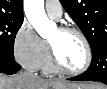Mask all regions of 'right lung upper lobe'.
I'll return each instance as SVG.
<instances>
[{
	"label": "right lung upper lobe",
	"instance_id": "1",
	"mask_svg": "<svg viewBox=\"0 0 107 89\" xmlns=\"http://www.w3.org/2000/svg\"><path fill=\"white\" fill-rule=\"evenodd\" d=\"M0 16L23 19L22 0H0Z\"/></svg>",
	"mask_w": 107,
	"mask_h": 89
}]
</instances>
